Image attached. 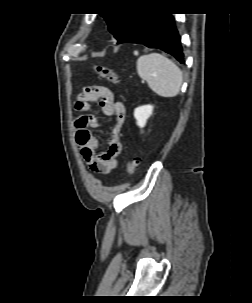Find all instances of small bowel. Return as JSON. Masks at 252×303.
Here are the masks:
<instances>
[{"label":"small bowel","mask_w":252,"mask_h":303,"mask_svg":"<svg viewBox=\"0 0 252 303\" xmlns=\"http://www.w3.org/2000/svg\"><path fill=\"white\" fill-rule=\"evenodd\" d=\"M98 103L106 115L115 117V125L109 134L106 151L97 153L98 140L91 129L99 125L95 116L88 113ZM76 109L84 116L76 121V142L89 169L99 174H108L118 165V155L122 151L120 128L125 120V108L115 101L112 91L103 86H85L78 96Z\"/></svg>","instance_id":"obj_1"}]
</instances>
